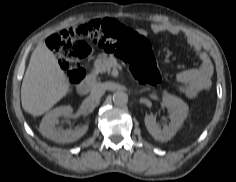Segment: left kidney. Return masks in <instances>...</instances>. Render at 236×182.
Listing matches in <instances>:
<instances>
[{
    "label": "left kidney",
    "mask_w": 236,
    "mask_h": 182,
    "mask_svg": "<svg viewBox=\"0 0 236 182\" xmlns=\"http://www.w3.org/2000/svg\"><path fill=\"white\" fill-rule=\"evenodd\" d=\"M163 105L171 113V121L168 126H164L163 129L156 122L154 115H146L144 122L148 132L153 136L154 139L166 142L170 140L178 131L183 124L188 114V105L180 98L171 95H163Z\"/></svg>",
    "instance_id": "left-kidney-1"
}]
</instances>
